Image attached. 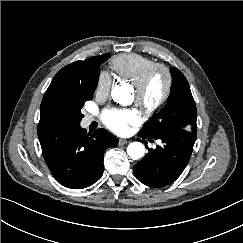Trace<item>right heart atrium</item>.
<instances>
[{
	"label": "right heart atrium",
	"instance_id": "1",
	"mask_svg": "<svg viewBox=\"0 0 243 243\" xmlns=\"http://www.w3.org/2000/svg\"><path fill=\"white\" fill-rule=\"evenodd\" d=\"M112 86L111 76L106 71H100L96 79L95 92L98 96H106Z\"/></svg>",
	"mask_w": 243,
	"mask_h": 243
}]
</instances>
